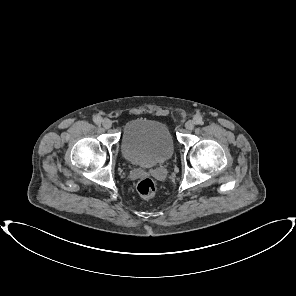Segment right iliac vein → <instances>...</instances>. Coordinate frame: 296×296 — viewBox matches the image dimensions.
Instances as JSON below:
<instances>
[{
	"instance_id": "obj_1",
	"label": "right iliac vein",
	"mask_w": 296,
	"mask_h": 296,
	"mask_svg": "<svg viewBox=\"0 0 296 296\" xmlns=\"http://www.w3.org/2000/svg\"><path fill=\"white\" fill-rule=\"evenodd\" d=\"M102 125L105 129H109L112 126V123L109 119H104L102 121Z\"/></svg>"
}]
</instances>
